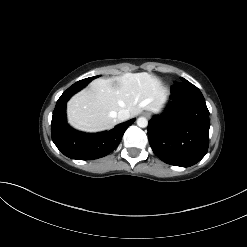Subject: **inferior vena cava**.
Returning <instances> with one entry per match:
<instances>
[{
	"instance_id": "602c4592",
	"label": "inferior vena cava",
	"mask_w": 247,
	"mask_h": 247,
	"mask_svg": "<svg viewBox=\"0 0 247 247\" xmlns=\"http://www.w3.org/2000/svg\"><path fill=\"white\" fill-rule=\"evenodd\" d=\"M117 118L119 121H126L130 118V112L126 109H122L118 112Z\"/></svg>"
}]
</instances>
